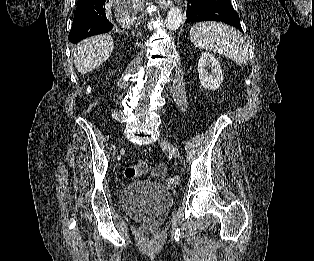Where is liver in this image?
Returning <instances> with one entry per match:
<instances>
[{
	"instance_id": "6515ba94",
	"label": "liver",
	"mask_w": 314,
	"mask_h": 261,
	"mask_svg": "<svg viewBox=\"0 0 314 261\" xmlns=\"http://www.w3.org/2000/svg\"><path fill=\"white\" fill-rule=\"evenodd\" d=\"M114 43L110 35H98L80 42L74 51V64L81 74H86L101 64L111 55Z\"/></svg>"
}]
</instances>
